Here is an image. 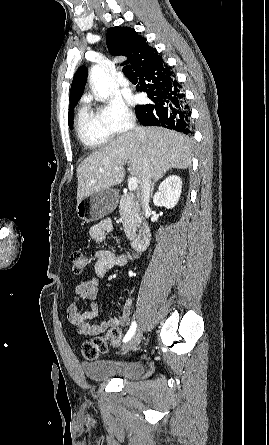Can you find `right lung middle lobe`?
Instances as JSON below:
<instances>
[{"instance_id": "obj_1", "label": "right lung middle lobe", "mask_w": 269, "mask_h": 445, "mask_svg": "<svg viewBox=\"0 0 269 445\" xmlns=\"http://www.w3.org/2000/svg\"><path fill=\"white\" fill-rule=\"evenodd\" d=\"M76 104L70 106L69 108V115H68V123H69V127L72 128V119H73V114H74V107Z\"/></svg>"}]
</instances>
